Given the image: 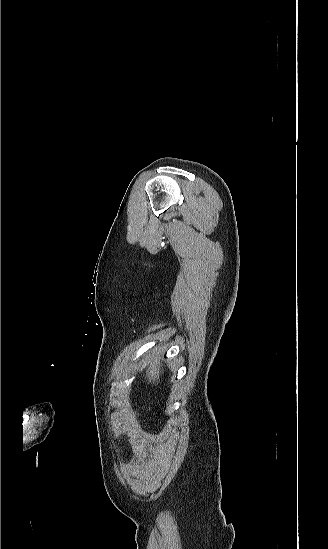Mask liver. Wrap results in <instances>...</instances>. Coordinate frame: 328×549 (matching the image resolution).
Masks as SVG:
<instances>
[{
    "label": "liver",
    "instance_id": "1",
    "mask_svg": "<svg viewBox=\"0 0 328 549\" xmlns=\"http://www.w3.org/2000/svg\"><path fill=\"white\" fill-rule=\"evenodd\" d=\"M159 359H161V357H155V359L150 361V365L146 371L149 383H159L158 379L161 373Z\"/></svg>",
    "mask_w": 328,
    "mask_h": 549
}]
</instances>
